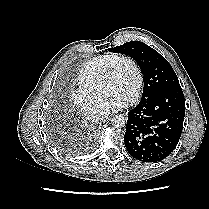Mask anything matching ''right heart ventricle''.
Wrapping results in <instances>:
<instances>
[{
	"instance_id": "e07e8e85",
	"label": "right heart ventricle",
	"mask_w": 209,
	"mask_h": 209,
	"mask_svg": "<svg viewBox=\"0 0 209 209\" xmlns=\"http://www.w3.org/2000/svg\"><path fill=\"white\" fill-rule=\"evenodd\" d=\"M118 56L119 54L109 53L96 56L87 61L77 75L80 86L100 93L102 91L104 73L109 64Z\"/></svg>"
}]
</instances>
